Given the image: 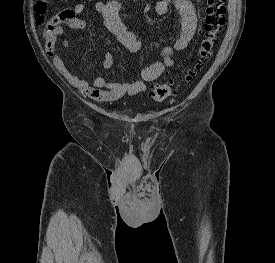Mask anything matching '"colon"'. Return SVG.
Here are the masks:
<instances>
[{"mask_svg": "<svg viewBox=\"0 0 275 263\" xmlns=\"http://www.w3.org/2000/svg\"><path fill=\"white\" fill-rule=\"evenodd\" d=\"M46 4L38 2L35 6L36 21L45 20ZM224 0H205L204 34L190 63L179 73L168 74L164 80L154 84L150 97L156 102H162L176 93L179 86L189 83L203 68L204 63L211 58L219 36L223 31L225 17Z\"/></svg>", "mask_w": 275, "mask_h": 263, "instance_id": "1", "label": "colon"}]
</instances>
